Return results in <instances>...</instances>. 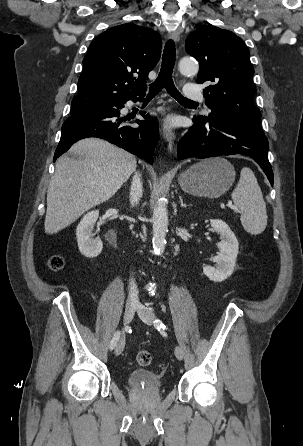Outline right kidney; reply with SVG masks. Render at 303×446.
Wrapping results in <instances>:
<instances>
[{
	"mask_svg": "<svg viewBox=\"0 0 303 446\" xmlns=\"http://www.w3.org/2000/svg\"><path fill=\"white\" fill-rule=\"evenodd\" d=\"M99 211L94 210L83 216L76 229L79 251L87 258L97 257L103 249L99 238L93 239V228L98 219Z\"/></svg>",
	"mask_w": 303,
	"mask_h": 446,
	"instance_id": "1",
	"label": "right kidney"
}]
</instances>
